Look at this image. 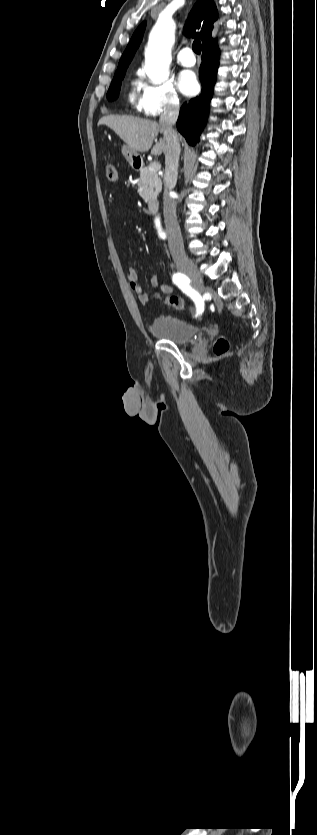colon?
Masks as SVG:
<instances>
[{
  "instance_id": "1",
  "label": "colon",
  "mask_w": 317,
  "mask_h": 835,
  "mask_svg": "<svg viewBox=\"0 0 317 835\" xmlns=\"http://www.w3.org/2000/svg\"><path fill=\"white\" fill-rule=\"evenodd\" d=\"M105 174L107 179L110 182H116L118 178V172L116 167L113 164H108L105 169ZM154 297L161 299L167 306H170L177 310H183L187 308V304L185 301L176 295H169V296H161L160 294H154ZM229 351V343L226 339H219L214 345V353L217 356H223Z\"/></svg>"
}]
</instances>
